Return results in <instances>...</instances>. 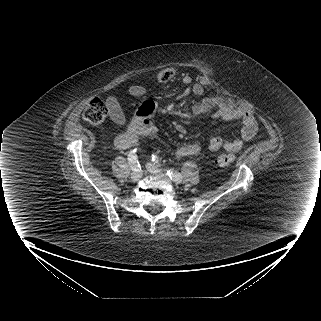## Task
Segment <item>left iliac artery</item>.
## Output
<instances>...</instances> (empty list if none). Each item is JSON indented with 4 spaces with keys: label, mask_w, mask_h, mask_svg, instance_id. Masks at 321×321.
<instances>
[{
    "label": "left iliac artery",
    "mask_w": 321,
    "mask_h": 321,
    "mask_svg": "<svg viewBox=\"0 0 321 321\" xmlns=\"http://www.w3.org/2000/svg\"><path fill=\"white\" fill-rule=\"evenodd\" d=\"M152 161L158 163V157L156 155H152ZM167 175L171 180H173L176 183H180L182 181V175L177 171L168 170Z\"/></svg>",
    "instance_id": "44dca946"
}]
</instances>
